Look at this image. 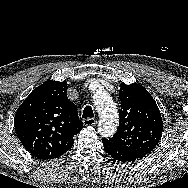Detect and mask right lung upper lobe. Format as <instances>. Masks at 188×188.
<instances>
[{"mask_svg": "<svg viewBox=\"0 0 188 188\" xmlns=\"http://www.w3.org/2000/svg\"><path fill=\"white\" fill-rule=\"evenodd\" d=\"M67 82L48 81L35 88L18 108L14 126L26 150L38 159H53L73 146L82 129Z\"/></svg>", "mask_w": 188, "mask_h": 188, "instance_id": "right-lung-upper-lobe-1", "label": "right lung upper lobe"}]
</instances>
